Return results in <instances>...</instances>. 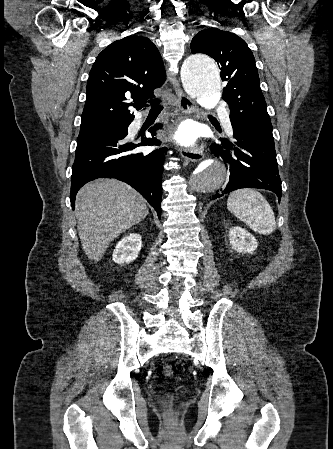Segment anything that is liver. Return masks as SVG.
<instances>
[{
  "mask_svg": "<svg viewBox=\"0 0 333 449\" xmlns=\"http://www.w3.org/2000/svg\"><path fill=\"white\" fill-rule=\"evenodd\" d=\"M144 198L128 184L115 180H95L85 184L75 202L77 229L83 250L98 262L110 242L146 218Z\"/></svg>",
  "mask_w": 333,
  "mask_h": 449,
  "instance_id": "obj_1",
  "label": "liver"
}]
</instances>
